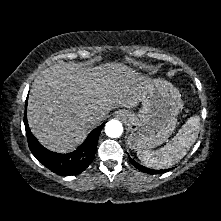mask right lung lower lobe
Wrapping results in <instances>:
<instances>
[{
	"mask_svg": "<svg viewBox=\"0 0 221 221\" xmlns=\"http://www.w3.org/2000/svg\"><path fill=\"white\" fill-rule=\"evenodd\" d=\"M24 124L28 145L35 158L52 172L62 176H68L81 173L93 161L98 138L105 122L94 129L77 150L68 154L55 153L43 147L30 131L26 112Z\"/></svg>",
	"mask_w": 221,
	"mask_h": 221,
	"instance_id": "98d812e1",
	"label": "right lung lower lobe"
}]
</instances>
